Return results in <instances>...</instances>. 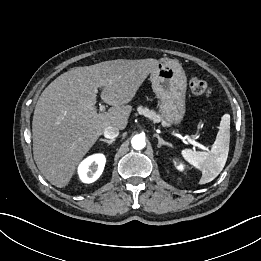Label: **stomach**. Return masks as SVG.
<instances>
[{
  "label": "stomach",
  "instance_id": "obj_1",
  "mask_svg": "<svg viewBox=\"0 0 261 261\" xmlns=\"http://www.w3.org/2000/svg\"><path fill=\"white\" fill-rule=\"evenodd\" d=\"M153 92L160 100L161 115L174 125L181 124L186 112L187 78L181 64L172 59L159 60L150 73Z\"/></svg>",
  "mask_w": 261,
  "mask_h": 261
}]
</instances>
